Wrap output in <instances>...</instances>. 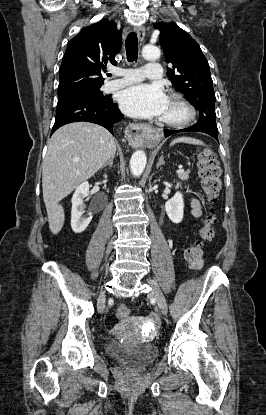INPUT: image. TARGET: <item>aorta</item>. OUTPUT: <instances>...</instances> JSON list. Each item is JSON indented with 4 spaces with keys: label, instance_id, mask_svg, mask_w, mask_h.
Masks as SVG:
<instances>
[{
    "label": "aorta",
    "instance_id": "1",
    "mask_svg": "<svg viewBox=\"0 0 266 415\" xmlns=\"http://www.w3.org/2000/svg\"><path fill=\"white\" fill-rule=\"evenodd\" d=\"M142 56L146 60H155L160 56V50L153 45H146L142 49ZM147 157L144 151L138 150L133 153L130 159V170L133 176L139 177L146 166Z\"/></svg>",
    "mask_w": 266,
    "mask_h": 415
}]
</instances>
